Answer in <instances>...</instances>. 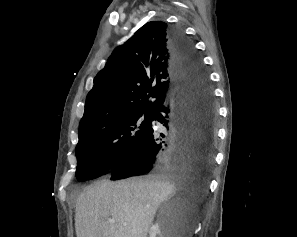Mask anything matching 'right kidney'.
Listing matches in <instances>:
<instances>
[{
  "mask_svg": "<svg viewBox=\"0 0 297 237\" xmlns=\"http://www.w3.org/2000/svg\"><path fill=\"white\" fill-rule=\"evenodd\" d=\"M149 237H164L158 223H155L150 227Z\"/></svg>",
  "mask_w": 297,
  "mask_h": 237,
  "instance_id": "ca27d5eb",
  "label": "right kidney"
}]
</instances>
